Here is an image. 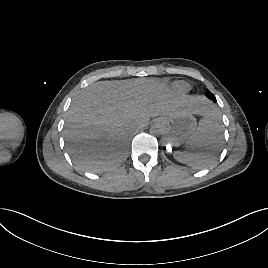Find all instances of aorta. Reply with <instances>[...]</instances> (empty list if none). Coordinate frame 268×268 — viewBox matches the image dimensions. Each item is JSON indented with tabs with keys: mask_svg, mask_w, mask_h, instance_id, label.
Returning a JSON list of instances; mask_svg holds the SVG:
<instances>
[{
	"mask_svg": "<svg viewBox=\"0 0 268 268\" xmlns=\"http://www.w3.org/2000/svg\"><path fill=\"white\" fill-rule=\"evenodd\" d=\"M150 133L152 135H160L162 133V129L159 126H157V125H153L150 128Z\"/></svg>",
	"mask_w": 268,
	"mask_h": 268,
	"instance_id": "762f6f07",
	"label": "aorta"
}]
</instances>
